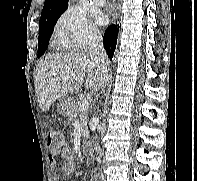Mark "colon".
<instances>
[{
  "instance_id": "colon-1",
  "label": "colon",
  "mask_w": 197,
  "mask_h": 181,
  "mask_svg": "<svg viewBox=\"0 0 197 181\" xmlns=\"http://www.w3.org/2000/svg\"><path fill=\"white\" fill-rule=\"evenodd\" d=\"M47 142L53 152H58L63 144L61 136L55 128H49L47 131Z\"/></svg>"
}]
</instances>
